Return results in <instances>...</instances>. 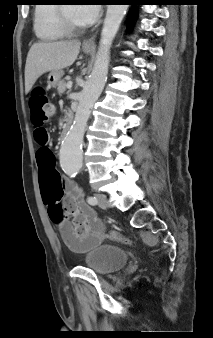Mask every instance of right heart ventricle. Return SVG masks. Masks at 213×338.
<instances>
[{"label": "right heart ventricle", "mask_w": 213, "mask_h": 338, "mask_svg": "<svg viewBox=\"0 0 213 338\" xmlns=\"http://www.w3.org/2000/svg\"><path fill=\"white\" fill-rule=\"evenodd\" d=\"M34 31L36 36L47 42L58 41L65 37L59 26L58 5L41 1L35 5Z\"/></svg>", "instance_id": "e07e8e85"}]
</instances>
